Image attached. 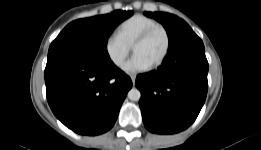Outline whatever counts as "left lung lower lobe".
<instances>
[{
  "instance_id": "0a47b994",
  "label": "left lung lower lobe",
  "mask_w": 261,
  "mask_h": 150,
  "mask_svg": "<svg viewBox=\"0 0 261 150\" xmlns=\"http://www.w3.org/2000/svg\"><path fill=\"white\" fill-rule=\"evenodd\" d=\"M207 74L203 42L194 32L188 33L169 49L156 71L136 78L145 127L157 134L188 128L205 102Z\"/></svg>"
}]
</instances>
